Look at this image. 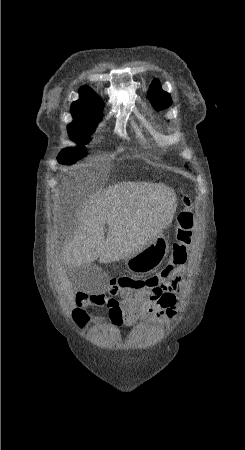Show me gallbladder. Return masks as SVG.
<instances>
[{
	"label": "gallbladder",
	"mask_w": 245,
	"mask_h": 450,
	"mask_svg": "<svg viewBox=\"0 0 245 450\" xmlns=\"http://www.w3.org/2000/svg\"><path fill=\"white\" fill-rule=\"evenodd\" d=\"M69 273L71 274V276H78V275H83L85 273V269L84 267H75L74 269L69 270Z\"/></svg>",
	"instance_id": "1"
}]
</instances>
